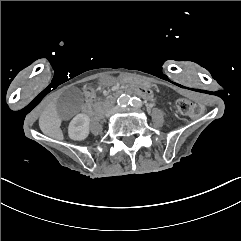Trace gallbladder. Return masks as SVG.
<instances>
[{"instance_id":"1","label":"gallbladder","mask_w":241,"mask_h":241,"mask_svg":"<svg viewBox=\"0 0 241 241\" xmlns=\"http://www.w3.org/2000/svg\"><path fill=\"white\" fill-rule=\"evenodd\" d=\"M83 95L75 87L66 89L58 102V114L63 119L75 116L82 109Z\"/></svg>"}]
</instances>
